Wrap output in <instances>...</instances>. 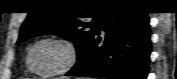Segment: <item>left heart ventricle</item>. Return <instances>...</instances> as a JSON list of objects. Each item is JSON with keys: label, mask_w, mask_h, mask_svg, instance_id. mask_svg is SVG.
<instances>
[{"label": "left heart ventricle", "mask_w": 177, "mask_h": 79, "mask_svg": "<svg viewBox=\"0 0 177 79\" xmlns=\"http://www.w3.org/2000/svg\"><path fill=\"white\" fill-rule=\"evenodd\" d=\"M66 57L65 47L55 42L42 43L32 53L35 67L42 71L58 69L65 62Z\"/></svg>", "instance_id": "obj_1"}]
</instances>
